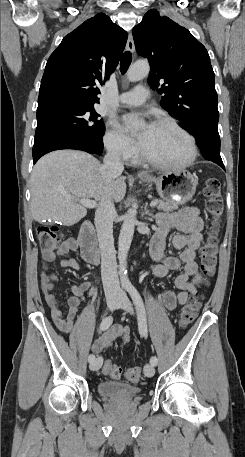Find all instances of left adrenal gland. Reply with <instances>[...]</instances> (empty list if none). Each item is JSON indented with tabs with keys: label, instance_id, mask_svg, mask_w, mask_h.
<instances>
[{
	"label": "left adrenal gland",
	"instance_id": "1",
	"mask_svg": "<svg viewBox=\"0 0 245 457\" xmlns=\"http://www.w3.org/2000/svg\"><path fill=\"white\" fill-rule=\"evenodd\" d=\"M147 204H148V202H146V206L144 208V214H149V216H154L153 212H149V210L147 208Z\"/></svg>",
	"mask_w": 245,
	"mask_h": 457
}]
</instances>
